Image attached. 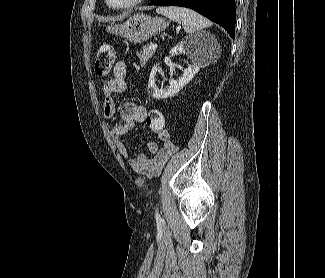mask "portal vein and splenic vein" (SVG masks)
Segmentation results:
<instances>
[{
  "label": "portal vein and splenic vein",
  "instance_id": "18ae733b",
  "mask_svg": "<svg viewBox=\"0 0 325 278\" xmlns=\"http://www.w3.org/2000/svg\"><path fill=\"white\" fill-rule=\"evenodd\" d=\"M150 48L151 49H156L157 48V44L156 43H151L150 44Z\"/></svg>",
  "mask_w": 325,
  "mask_h": 278
}]
</instances>
